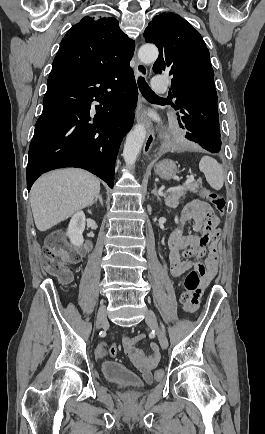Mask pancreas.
I'll use <instances>...</instances> for the list:
<instances>
[{
  "label": "pancreas",
  "mask_w": 265,
  "mask_h": 434,
  "mask_svg": "<svg viewBox=\"0 0 265 434\" xmlns=\"http://www.w3.org/2000/svg\"><path fill=\"white\" fill-rule=\"evenodd\" d=\"M177 188H180V190L170 192L169 196L165 198L166 206H169V208H177L181 196H185L187 190L196 194L197 190L202 188V186L201 184H197V182H192V184H184V186H177Z\"/></svg>",
  "instance_id": "obj_1"
}]
</instances>
